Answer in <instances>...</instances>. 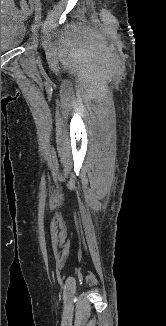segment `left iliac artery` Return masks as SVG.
I'll use <instances>...</instances> for the list:
<instances>
[{
    "label": "left iliac artery",
    "mask_w": 166,
    "mask_h": 326,
    "mask_svg": "<svg viewBox=\"0 0 166 326\" xmlns=\"http://www.w3.org/2000/svg\"><path fill=\"white\" fill-rule=\"evenodd\" d=\"M40 19H41V14L40 12H35V22L37 24V27L40 26Z\"/></svg>",
    "instance_id": "left-iliac-artery-1"
}]
</instances>
